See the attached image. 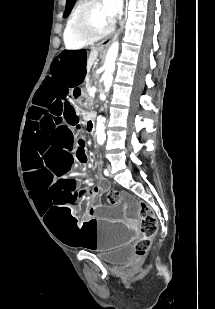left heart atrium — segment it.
Here are the masks:
<instances>
[{
    "label": "left heart atrium",
    "instance_id": "1",
    "mask_svg": "<svg viewBox=\"0 0 215 309\" xmlns=\"http://www.w3.org/2000/svg\"><path fill=\"white\" fill-rule=\"evenodd\" d=\"M106 9L103 12L104 20H115L119 12H123V5L120 0H105Z\"/></svg>",
    "mask_w": 215,
    "mask_h": 309
}]
</instances>
